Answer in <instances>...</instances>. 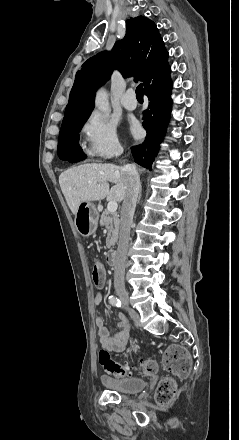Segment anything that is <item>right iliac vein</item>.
Wrapping results in <instances>:
<instances>
[{"label": "right iliac vein", "mask_w": 239, "mask_h": 440, "mask_svg": "<svg viewBox=\"0 0 239 440\" xmlns=\"http://www.w3.org/2000/svg\"><path fill=\"white\" fill-rule=\"evenodd\" d=\"M124 302H125V305L127 306L128 305V299L126 297H124ZM128 311H129L130 316L134 320H139V315H138V313L134 309L128 307Z\"/></svg>", "instance_id": "obj_1"}]
</instances>
